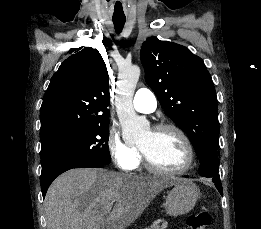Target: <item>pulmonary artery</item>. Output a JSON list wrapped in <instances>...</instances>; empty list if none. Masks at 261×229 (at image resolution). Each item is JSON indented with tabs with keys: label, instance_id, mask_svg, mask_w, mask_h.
<instances>
[{
	"label": "pulmonary artery",
	"instance_id": "pulmonary-artery-1",
	"mask_svg": "<svg viewBox=\"0 0 261 229\" xmlns=\"http://www.w3.org/2000/svg\"><path fill=\"white\" fill-rule=\"evenodd\" d=\"M157 108L155 94L147 88L137 90L134 96V109L140 113H153Z\"/></svg>",
	"mask_w": 261,
	"mask_h": 229
}]
</instances>
